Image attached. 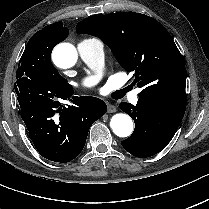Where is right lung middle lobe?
<instances>
[{"mask_svg":"<svg viewBox=\"0 0 209 209\" xmlns=\"http://www.w3.org/2000/svg\"><path fill=\"white\" fill-rule=\"evenodd\" d=\"M49 31L36 32L28 41L16 72L17 82L29 78L60 88L70 84L52 66L51 52L55 43L49 38Z\"/></svg>","mask_w":209,"mask_h":209,"instance_id":"dd1d6c3e","label":"right lung middle lobe"}]
</instances>
